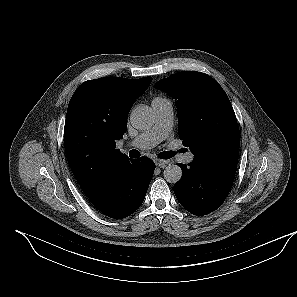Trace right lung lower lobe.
Here are the masks:
<instances>
[{"label": "right lung lower lobe", "instance_id": "98d812e1", "mask_svg": "<svg viewBox=\"0 0 297 297\" xmlns=\"http://www.w3.org/2000/svg\"><path fill=\"white\" fill-rule=\"evenodd\" d=\"M155 169L147 158L131 159L116 173L103 198L94 206L106 216L122 219L142 204Z\"/></svg>", "mask_w": 297, "mask_h": 297}]
</instances>
